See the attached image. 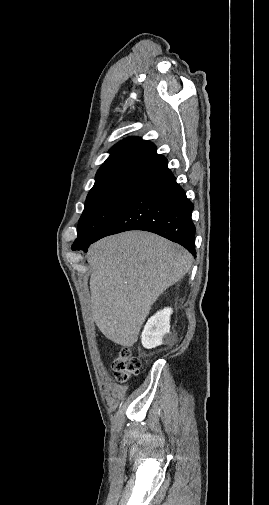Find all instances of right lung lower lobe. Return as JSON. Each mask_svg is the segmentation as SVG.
<instances>
[{"instance_id":"98d812e1","label":"right lung lower lobe","mask_w":269,"mask_h":505,"mask_svg":"<svg viewBox=\"0 0 269 505\" xmlns=\"http://www.w3.org/2000/svg\"><path fill=\"white\" fill-rule=\"evenodd\" d=\"M193 209L192 202L176 183L172 172L166 169L139 188L93 242L123 231L144 230L179 243L195 256L196 229L191 218ZM90 244L80 249L87 251Z\"/></svg>"}]
</instances>
